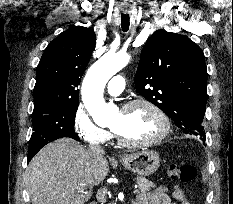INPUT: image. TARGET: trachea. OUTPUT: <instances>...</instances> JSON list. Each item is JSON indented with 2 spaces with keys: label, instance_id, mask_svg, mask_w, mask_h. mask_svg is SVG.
Segmentation results:
<instances>
[{
  "label": "trachea",
  "instance_id": "3493384b",
  "mask_svg": "<svg viewBox=\"0 0 233 204\" xmlns=\"http://www.w3.org/2000/svg\"><path fill=\"white\" fill-rule=\"evenodd\" d=\"M130 25V18L128 14L121 15V27L124 32H127Z\"/></svg>",
  "mask_w": 233,
  "mask_h": 204
}]
</instances>
